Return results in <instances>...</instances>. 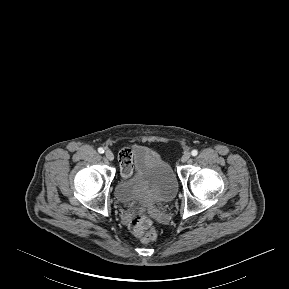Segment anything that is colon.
I'll use <instances>...</instances> for the list:
<instances>
[{
	"instance_id": "5ec220e1",
	"label": "colon",
	"mask_w": 289,
	"mask_h": 289,
	"mask_svg": "<svg viewBox=\"0 0 289 289\" xmlns=\"http://www.w3.org/2000/svg\"><path fill=\"white\" fill-rule=\"evenodd\" d=\"M139 220L147 225V228L144 230L143 234L140 237V240L142 243H150L156 240L157 233L156 231L151 227V219L150 217L145 213L138 214Z\"/></svg>"
}]
</instances>
